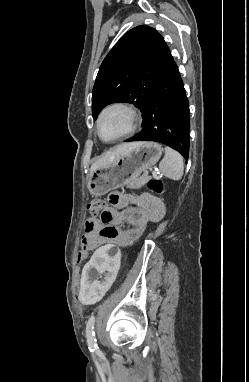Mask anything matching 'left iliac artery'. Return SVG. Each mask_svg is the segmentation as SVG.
Wrapping results in <instances>:
<instances>
[{"instance_id": "1", "label": "left iliac artery", "mask_w": 249, "mask_h": 382, "mask_svg": "<svg viewBox=\"0 0 249 382\" xmlns=\"http://www.w3.org/2000/svg\"><path fill=\"white\" fill-rule=\"evenodd\" d=\"M94 325H95V316L92 315L86 325V338H87V343L90 351L96 350L97 343H96V338H95V332H94Z\"/></svg>"}]
</instances>
